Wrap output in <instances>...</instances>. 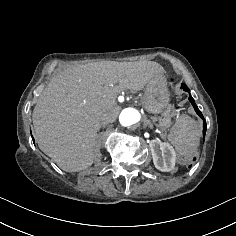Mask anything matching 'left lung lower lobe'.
<instances>
[{
    "label": "left lung lower lobe",
    "instance_id": "0a47b994",
    "mask_svg": "<svg viewBox=\"0 0 236 236\" xmlns=\"http://www.w3.org/2000/svg\"><path fill=\"white\" fill-rule=\"evenodd\" d=\"M181 88H182L184 91L189 92V89H188V87H187L185 84H182V85H181ZM189 100H190V102L192 103V105H193V107H194L196 113H197L201 118H203L202 113H201L200 110L198 109V107H197V105L195 104V101H194V99L192 98L191 95H190V97H189ZM206 128H207V126H206V121L203 119V134H204V135H205V133H206Z\"/></svg>",
    "mask_w": 236,
    "mask_h": 236
}]
</instances>
